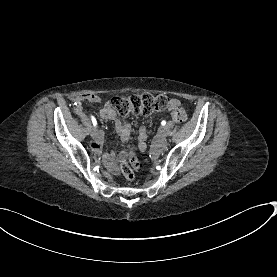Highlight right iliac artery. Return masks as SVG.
Wrapping results in <instances>:
<instances>
[{
  "label": "right iliac artery",
  "instance_id": "right-iliac-artery-1",
  "mask_svg": "<svg viewBox=\"0 0 277 277\" xmlns=\"http://www.w3.org/2000/svg\"><path fill=\"white\" fill-rule=\"evenodd\" d=\"M91 120H92L93 125L96 126V124H97L96 119L93 116H91Z\"/></svg>",
  "mask_w": 277,
  "mask_h": 277
}]
</instances>
